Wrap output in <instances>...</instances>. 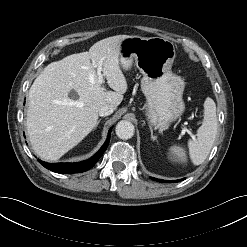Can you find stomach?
I'll return each instance as SVG.
<instances>
[{"label":"stomach","instance_id":"stomach-1","mask_svg":"<svg viewBox=\"0 0 247 247\" xmlns=\"http://www.w3.org/2000/svg\"><path fill=\"white\" fill-rule=\"evenodd\" d=\"M175 55L174 43L161 37L129 36L120 43V64L125 70L135 64L142 73L147 118L161 131L185 110V82L172 72Z\"/></svg>","mask_w":247,"mask_h":247}]
</instances>
